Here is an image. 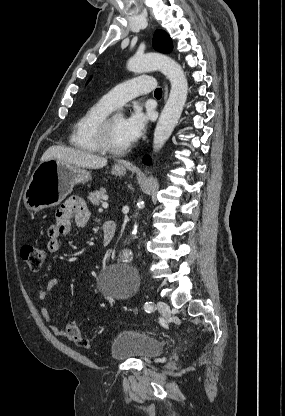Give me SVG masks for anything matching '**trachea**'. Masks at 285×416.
Wrapping results in <instances>:
<instances>
[{"instance_id":"obj_1","label":"trachea","mask_w":285,"mask_h":416,"mask_svg":"<svg viewBox=\"0 0 285 416\" xmlns=\"http://www.w3.org/2000/svg\"><path fill=\"white\" fill-rule=\"evenodd\" d=\"M154 96L155 97H161L162 96V89L161 88H156V90L154 92Z\"/></svg>"}]
</instances>
